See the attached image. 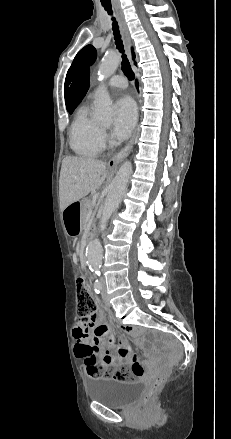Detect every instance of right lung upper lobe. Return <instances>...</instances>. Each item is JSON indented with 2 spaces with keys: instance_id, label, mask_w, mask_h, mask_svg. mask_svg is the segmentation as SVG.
<instances>
[{
  "instance_id": "1",
  "label": "right lung upper lobe",
  "mask_w": 231,
  "mask_h": 439,
  "mask_svg": "<svg viewBox=\"0 0 231 439\" xmlns=\"http://www.w3.org/2000/svg\"><path fill=\"white\" fill-rule=\"evenodd\" d=\"M134 58H135V55L133 54V59ZM89 84H90L89 70H87L85 76L83 77V79L79 83V85L74 93L72 104H71V110L74 109L81 102L82 98L84 97V95L88 91Z\"/></svg>"
}]
</instances>
